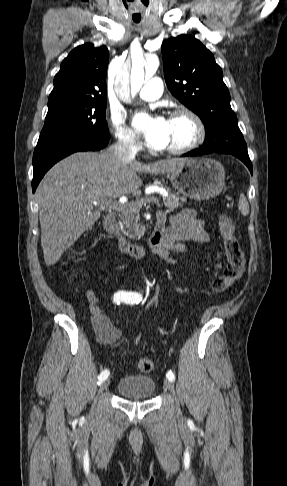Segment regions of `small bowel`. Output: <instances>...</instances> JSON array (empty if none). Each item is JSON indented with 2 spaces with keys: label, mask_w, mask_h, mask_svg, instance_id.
<instances>
[{
  "label": "small bowel",
  "mask_w": 287,
  "mask_h": 486,
  "mask_svg": "<svg viewBox=\"0 0 287 486\" xmlns=\"http://www.w3.org/2000/svg\"><path fill=\"white\" fill-rule=\"evenodd\" d=\"M163 215L164 213H159ZM171 227L166 230L164 241L156 251L158 257L168 263H175L169 257L172 252H191V243L206 244L209 241L208 234L204 229V222L191 208H184L170 217ZM86 298L89 310L92 315V325L97 338L105 344H112L119 340L120 331L111 323L109 317L104 313L100 299L94 291L87 290Z\"/></svg>",
  "instance_id": "1"
}]
</instances>
